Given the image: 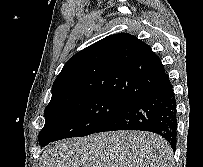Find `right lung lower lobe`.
Here are the masks:
<instances>
[{
  "label": "right lung lower lobe",
  "mask_w": 203,
  "mask_h": 167,
  "mask_svg": "<svg viewBox=\"0 0 203 167\" xmlns=\"http://www.w3.org/2000/svg\"><path fill=\"white\" fill-rule=\"evenodd\" d=\"M115 130H142L161 135L176 149V100L170 80L129 103L96 133Z\"/></svg>",
  "instance_id": "obj_1"
}]
</instances>
